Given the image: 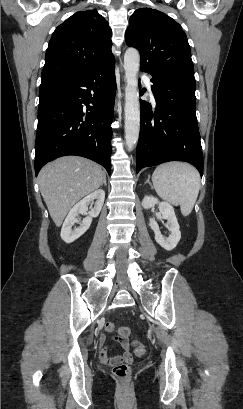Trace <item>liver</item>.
Here are the masks:
<instances>
[{
	"mask_svg": "<svg viewBox=\"0 0 243 409\" xmlns=\"http://www.w3.org/2000/svg\"><path fill=\"white\" fill-rule=\"evenodd\" d=\"M104 176L100 165L76 156L58 158L41 169V195L56 226L79 200L102 185Z\"/></svg>",
	"mask_w": 243,
	"mask_h": 409,
	"instance_id": "6515ba94",
	"label": "liver"
}]
</instances>
